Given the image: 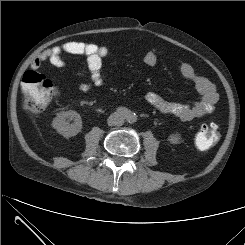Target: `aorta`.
<instances>
[{"label":"aorta","mask_w":245,"mask_h":245,"mask_svg":"<svg viewBox=\"0 0 245 245\" xmlns=\"http://www.w3.org/2000/svg\"><path fill=\"white\" fill-rule=\"evenodd\" d=\"M126 119L129 123H134L137 121V115L133 112H129L126 116Z\"/></svg>","instance_id":"1"}]
</instances>
